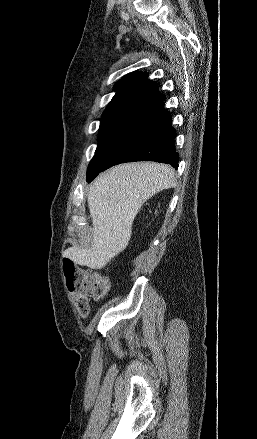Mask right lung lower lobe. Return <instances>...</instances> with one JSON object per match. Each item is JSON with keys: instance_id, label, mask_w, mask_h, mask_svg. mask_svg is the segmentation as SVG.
<instances>
[{"instance_id": "right-lung-lower-lobe-1", "label": "right lung lower lobe", "mask_w": 257, "mask_h": 439, "mask_svg": "<svg viewBox=\"0 0 257 439\" xmlns=\"http://www.w3.org/2000/svg\"><path fill=\"white\" fill-rule=\"evenodd\" d=\"M163 101L151 106L139 116L126 121L95 154L87 169L91 182L99 172L116 164L133 161H155L178 168V153L174 147L175 130L171 115Z\"/></svg>"}]
</instances>
